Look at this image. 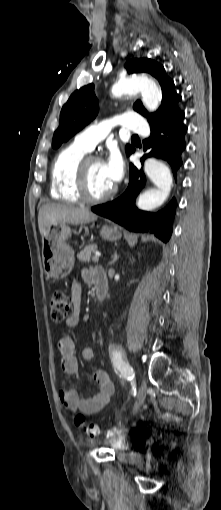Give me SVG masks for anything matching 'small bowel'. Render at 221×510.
Returning <instances> with one entry per match:
<instances>
[{
    "instance_id": "small-bowel-1",
    "label": "small bowel",
    "mask_w": 221,
    "mask_h": 510,
    "mask_svg": "<svg viewBox=\"0 0 221 510\" xmlns=\"http://www.w3.org/2000/svg\"><path fill=\"white\" fill-rule=\"evenodd\" d=\"M93 270L83 272L84 280L94 283ZM71 297L74 305L73 313L66 319L67 327H74L80 318L82 287L79 282H74L71 288ZM58 349L61 354L60 366L62 371L71 376L78 375V361L75 354V342L71 336H62L58 341ZM85 360L91 361L94 357V348L87 346L83 350ZM93 379L98 383L99 389L94 394L81 398L76 390H61L59 399L63 406L71 411H80L85 415H92L106 407L115 393V385L110 376L103 370H96Z\"/></svg>"
}]
</instances>
